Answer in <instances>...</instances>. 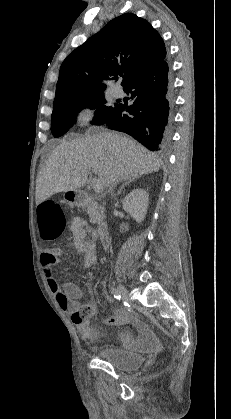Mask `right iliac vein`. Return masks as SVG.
I'll return each instance as SVG.
<instances>
[{"label": "right iliac vein", "mask_w": 231, "mask_h": 419, "mask_svg": "<svg viewBox=\"0 0 231 419\" xmlns=\"http://www.w3.org/2000/svg\"><path fill=\"white\" fill-rule=\"evenodd\" d=\"M117 290H118L120 296L122 297V299L125 302H129V296H128L127 290L125 289V287L122 284L119 283L117 285Z\"/></svg>", "instance_id": "63e3f726"}]
</instances>
